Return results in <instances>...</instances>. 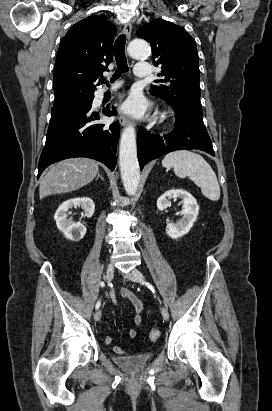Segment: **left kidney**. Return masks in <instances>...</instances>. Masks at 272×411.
Instances as JSON below:
<instances>
[{
  "mask_svg": "<svg viewBox=\"0 0 272 411\" xmlns=\"http://www.w3.org/2000/svg\"><path fill=\"white\" fill-rule=\"evenodd\" d=\"M173 198H181L183 201L181 214L183 218L177 223L167 222L166 233L172 239H178L187 234L196 221L199 206L196 199L187 191L182 189H171L166 191L157 200V208L160 211L165 210Z\"/></svg>",
  "mask_w": 272,
  "mask_h": 411,
  "instance_id": "left-kidney-1",
  "label": "left kidney"
}]
</instances>
